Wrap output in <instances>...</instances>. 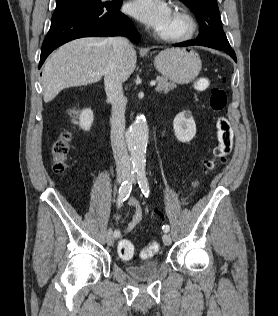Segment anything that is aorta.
<instances>
[{
  "label": "aorta",
  "mask_w": 278,
  "mask_h": 316,
  "mask_svg": "<svg viewBox=\"0 0 278 316\" xmlns=\"http://www.w3.org/2000/svg\"><path fill=\"white\" fill-rule=\"evenodd\" d=\"M125 138L133 169L144 171L149 138L148 125L144 115L138 114L136 116L134 123L127 130Z\"/></svg>",
  "instance_id": "1"
}]
</instances>
